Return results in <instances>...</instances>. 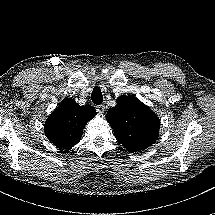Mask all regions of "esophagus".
I'll return each instance as SVG.
<instances>
[{"instance_id":"obj_1","label":"esophagus","mask_w":215,"mask_h":215,"mask_svg":"<svg viewBox=\"0 0 215 215\" xmlns=\"http://www.w3.org/2000/svg\"><path fill=\"white\" fill-rule=\"evenodd\" d=\"M96 111H97L99 114H104L105 111H106L105 105H103V104L97 105V106H96Z\"/></svg>"}]
</instances>
